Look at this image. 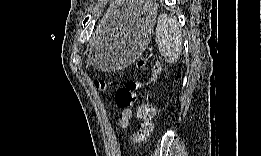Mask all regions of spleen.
Here are the masks:
<instances>
[{
	"instance_id": "obj_1",
	"label": "spleen",
	"mask_w": 261,
	"mask_h": 156,
	"mask_svg": "<svg viewBox=\"0 0 261 156\" xmlns=\"http://www.w3.org/2000/svg\"><path fill=\"white\" fill-rule=\"evenodd\" d=\"M155 35L158 49L165 61L176 63L182 49V36L176 19L165 14L159 15Z\"/></svg>"
}]
</instances>
